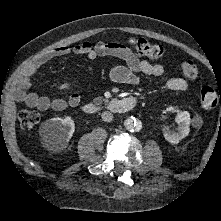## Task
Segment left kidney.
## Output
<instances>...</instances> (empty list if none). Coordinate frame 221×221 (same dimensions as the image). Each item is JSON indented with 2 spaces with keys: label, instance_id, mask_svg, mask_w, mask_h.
Masks as SVG:
<instances>
[{
  "label": "left kidney",
  "instance_id": "5707ae66",
  "mask_svg": "<svg viewBox=\"0 0 221 221\" xmlns=\"http://www.w3.org/2000/svg\"><path fill=\"white\" fill-rule=\"evenodd\" d=\"M167 111L177 113L175 121L178 123L179 127L177 132L169 131L166 127H163V134L168 142L177 144L189 134L191 122L190 114L188 111H180L175 107H169Z\"/></svg>",
  "mask_w": 221,
  "mask_h": 221
}]
</instances>
